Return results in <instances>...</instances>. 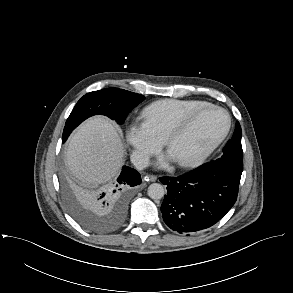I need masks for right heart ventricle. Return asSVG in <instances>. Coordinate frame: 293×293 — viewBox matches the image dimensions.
I'll list each match as a JSON object with an SVG mask.
<instances>
[{"instance_id":"1","label":"right heart ventricle","mask_w":293,"mask_h":293,"mask_svg":"<svg viewBox=\"0 0 293 293\" xmlns=\"http://www.w3.org/2000/svg\"><path fill=\"white\" fill-rule=\"evenodd\" d=\"M208 104L202 100L164 99L145 107L142 114L152 129L164 139L171 128L189 113Z\"/></svg>"}]
</instances>
